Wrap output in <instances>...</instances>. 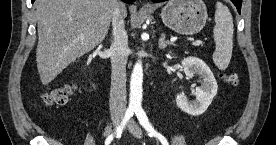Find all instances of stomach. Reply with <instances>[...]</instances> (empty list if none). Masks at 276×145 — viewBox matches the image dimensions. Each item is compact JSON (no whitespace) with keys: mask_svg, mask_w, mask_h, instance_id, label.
I'll use <instances>...</instances> for the list:
<instances>
[{"mask_svg":"<svg viewBox=\"0 0 276 145\" xmlns=\"http://www.w3.org/2000/svg\"><path fill=\"white\" fill-rule=\"evenodd\" d=\"M163 23L183 35L198 33L207 20V9L202 0H170L161 11Z\"/></svg>","mask_w":276,"mask_h":145,"instance_id":"0dacf381","label":"stomach"}]
</instances>
